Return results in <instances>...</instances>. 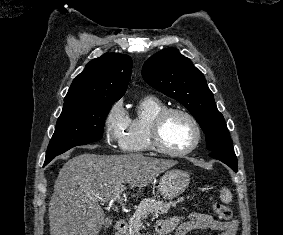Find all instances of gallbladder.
<instances>
[{
    "instance_id": "1",
    "label": "gallbladder",
    "mask_w": 283,
    "mask_h": 235,
    "mask_svg": "<svg viewBox=\"0 0 283 235\" xmlns=\"http://www.w3.org/2000/svg\"><path fill=\"white\" fill-rule=\"evenodd\" d=\"M111 223H112L111 218H106V221H105V224H104L105 228H108L111 225Z\"/></svg>"
}]
</instances>
